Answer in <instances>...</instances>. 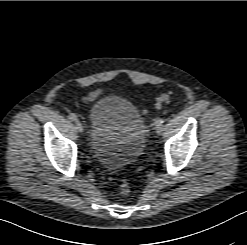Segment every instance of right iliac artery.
Masks as SVG:
<instances>
[{
  "mask_svg": "<svg viewBox=\"0 0 247 245\" xmlns=\"http://www.w3.org/2000/svg\"><path fill=\"white\" fill-rule=\"evenodd\" d=\"M68 118H69L71 121H77V116H76L75 114H73V113H70V114L68 115Z\"/></svg>",
  "mask_w": 247,
  "mask_h": 245,
  "instance_id": "obj_1",
  "label": "right iliac artery"
}]
</instances>
